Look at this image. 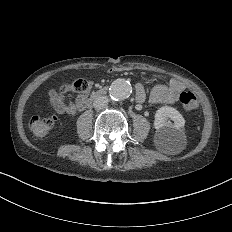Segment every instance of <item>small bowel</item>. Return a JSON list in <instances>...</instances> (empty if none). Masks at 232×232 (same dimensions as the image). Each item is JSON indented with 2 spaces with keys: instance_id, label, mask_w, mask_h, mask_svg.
Listing matches in <instances>:
<instances>
[{
  "instance_id": "1",
  "label": "small bowel",
  "mask_w": 232,
  "mask_h": 232,
  "mask_svg": "<svg viewBox=\"0 0 232 232\" xmlns=\"http://www.w3.org/2000/svg\"><path fill=\"white\" fill-rule=\"evenodd\" d=\"M130 68H117L112 72L115 73H128ZM90 85V82H88ZM151 85L153 90L148 94L146 86ZM73 85H66V90H71ZM185 90V84L177 79H173L167 85L165 82L157 79H148L144 82H140L136 86L135 94L133 96V102L135 104H142L148 102L150 104H157L159 102H175L177 101L179 94ZM87 93V90H86ZM49 94L56 96L55 89H50Z\"/></svg>"
}]
</instances>
